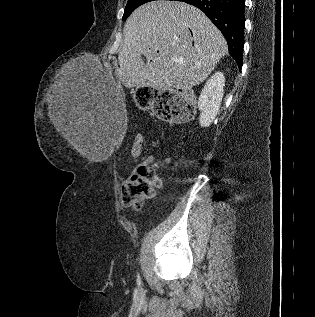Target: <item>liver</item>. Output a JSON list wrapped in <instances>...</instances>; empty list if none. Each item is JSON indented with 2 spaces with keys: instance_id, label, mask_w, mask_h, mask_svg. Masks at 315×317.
I'll use <instances>...</instances> for the list:
<instances>
[{
  "instance_id": "6515ba94",
  "label": "liver",
  "mask_w": 315,
  "mask_h": 317,
  "mask_svg": "<svg viewBox=\"0 0 315 317\" xmlns=\"http://www.w3.org/2000/svg\"><path fill=\"white\" fill-rule=\"evenodd\" d=\"M227 53L221 32L196 7L177 1L149 2L126 20L118 78L126 88L188 90L202 83ZM49 118L56 130L86 155L82 119L64 82L54 88Z\"/></svg>"
}]
</instances>
